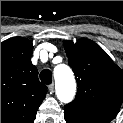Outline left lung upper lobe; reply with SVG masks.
<instances>
[{"mask_svg":"<svg viewBox=\"0 0 123 123\" xmlns=\"http://www.w3.org/2000/svg\"><path fill=\"white\" fill-rule=\"evenodd\" d=\"M64 48L78 86L75 99L65 108L112 120L123 101V71L91 40L64 41Z\"/></svg>","mask_w":123,"mask_h":123,"instance_id":"obj_1","label":"left lung upper lobe"}]
</instances>
